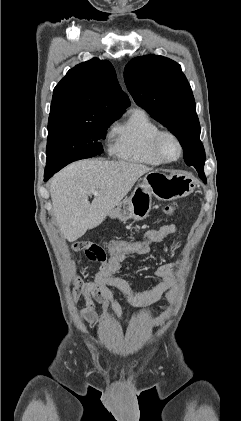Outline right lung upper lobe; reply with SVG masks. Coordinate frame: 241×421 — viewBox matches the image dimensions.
I'll list each match as a JSON object with an SVG mask.
<instances>
[{
	"label": "right lung upper lobe",
	"mask_w": 241,
	"mask_h": 421,
	"mask_svg": "<svg viewBox=\"0 0 241 421\" xmlns=\"http://www.w3.org/2000/svg\"><path fill=\"white\" fill-rule=\"evenodd\" d=\"M129 105L112 64L93 58L71 68L54 88L50 116L120 117Z\"/></svg>",
	"instance_id": "1"
}]
</instances>
